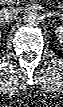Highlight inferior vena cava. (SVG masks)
<instances>
[{"mask_svg": "<svg viewBox=\"0 0 63 107\" xmlns=\"http://www.w3.org/2000/svg\"><path fill=\"white\" fill-rule=\"evenodd\" d=\"M17 15H18V11L13 6L4 7L0 10L1 22H10L14 20L17 17Z\"/></svg>", "mask_w": 63, "mask_h": 107, "instance_id": "1", "label": "inferior vena cava"}]
</instances>
